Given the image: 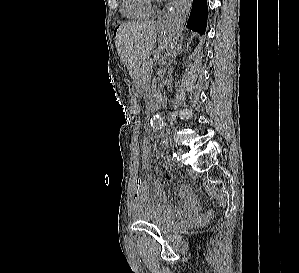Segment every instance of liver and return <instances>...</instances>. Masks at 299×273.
I'll return each instance as SVG.
<instances>
[{
    "label": "liver",
    "instance_id": "liver-1",
    "mask_svg": "<svg viewBox=\"0 0 299 273\" xmlns=\"http://www.w3.org/2000/svg\"><path fill=\"white\" fill-rule=\"evenodd\" d=\"M156 42V22H128L120 25L115 45L122 63L133 79Z\"/></svg>",
    "mask_w": 299,
    "mask_h": 273
}]
</instances>
